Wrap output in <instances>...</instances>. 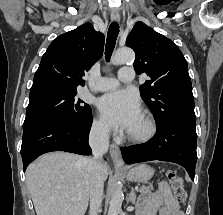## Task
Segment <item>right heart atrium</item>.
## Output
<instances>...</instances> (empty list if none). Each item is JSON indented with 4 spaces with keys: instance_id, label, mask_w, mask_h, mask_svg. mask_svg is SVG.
<instances>
[{
    "instance_id": "1",
    "label": "right heart atrium",
    "mask_w": 223,
    "mask_h": 215,
    "mask_svg": "<svg viewBox=\"0 0 223 215\" xmlns=\"http://www.w3.org/2000/svg\"><path fill=\"white\" fill-rule=\"evenodd\" d=\"M92 130L97 136L104 137L108 134L109 127L101 119H95Z\"/></svg>"
}]
</instances>
